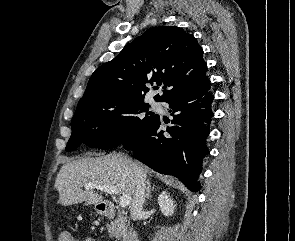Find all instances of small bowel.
Returning a JSON list of instances; mask_svg holds the SVG:
<instances>
[{"mask_svg":"<svg viewBox=\"0 0 295 241\" xmlns=\"http://www.w3.org/2000/svg\"><path fill=\"white\" fill-rule=\"evenodd\" d=\"M84 241H95V239L92 236L88 235L84 238Z\"/></svg>","mask_w":295,"mask_h":241,"instance_id":"1","label":"small bowel"}]
</instances>
